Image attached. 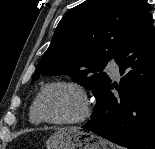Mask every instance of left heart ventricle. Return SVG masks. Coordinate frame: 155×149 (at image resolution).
Masks as SVG:
<instances>
[{"label":"left heart ventricle","mask_w":155,"mask_h":149,"mask_svg":"<svg viewBox=\"0 0 155 149\" xmlns=\"http://www.w3.org/2000/svg\"><path fill=\"white\" fill-rule=\"evenodd\" d=\"M81 99L78 93L69 87L49 88L41 100V110L50 119H71L81 111Z\"/></svg>","instance_id":"obj_1"}]
</instances>
